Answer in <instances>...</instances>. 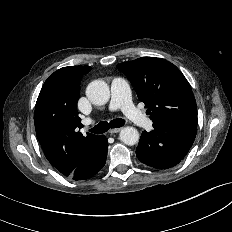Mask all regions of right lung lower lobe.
<instances>
[{"mask_svg":"<svg viewBox=\"0 0 232 232\" xmlns=\"http://www.w3.org/2000/svg\"><path fill=\"white\" fill-rule=\"evenodd\" d=\"M108 142L104 135L88 147L79 159L77 167L68 175L73 180L89 179L97 174L105 165Z\"/></svg>","mask_w":232,"mask_h":232,"instance_id":"right-lung-lower-lobe-1","label":"right lung lower lobe"}]
</instances>
